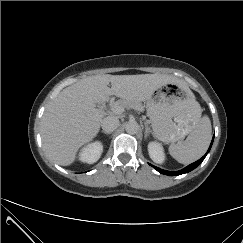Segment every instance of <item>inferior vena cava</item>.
Returning <instances> with one entry per match:
<instances>
[{
  "instance_id": "obj_1",
  "label": "inferior vena cava",
  "mask_w": 243,
  "mask_h": 243,
  "mask_svg": "<svg viewBox=\"0 0 243 243\" xmlns=\"http://www.w3.org/2000/svg\"><path fill=\"white\" fill-rule=\"evenodd\" d=\"M119 126V119L116 116H107L101 122V127L105 132H113Z\"/></svg>"
}]
</instances>
